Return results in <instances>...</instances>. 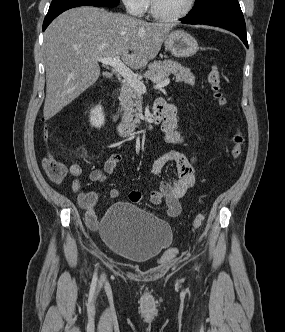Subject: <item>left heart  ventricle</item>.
<instances>
[{
    "instance_id": "1",
    "label": "left heart ventricle",
    "mask_w": 285,
    "mask_h": 332,
    "mask_svg": "<svg viewBox=\"0 0 285 332\" xmlns=\"http://www.w3.org/2000/svg\"><path fill=\"white\" fill-rule=\"evenodd\" d=\"M158 11L164 15H177L189 4V0H155Z\"/></svg>"
}]
</instances>
